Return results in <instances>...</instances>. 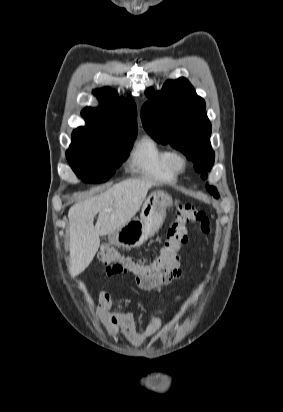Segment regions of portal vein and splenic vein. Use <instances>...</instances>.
<instances>
[{
    "label": "portal vein and splenic vein",
    "mask_w": 283,
    "mask_h": 412,
    "mask_svg": "<svg viewBox=\"0 0 283 412\" xmlns=\"http://www.w3.org/2000/svg\"><path fill=\"white\" fill-rule=\"evenodd\" d=\"M111 211H112L111 208H108V209H105V210H104V212H106V213H109V212H111Z\"/></svg>",
    "instance_id": "1"
}]
</instances>
